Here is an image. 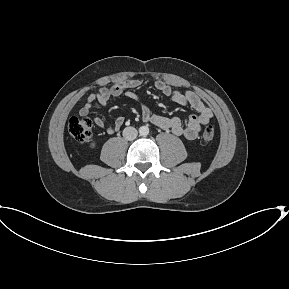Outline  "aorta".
I'll use <instances>...</instances> for the list:
<instances>
[{"label":"aorta","instance_id":"1","mask_svg":"<svg viewBox=\"0 0 289 289\" xmlns=\"http://www.w3.org/2000/svg\"><path fill=\"white\" fill-rule=\"evenodd\" d=\"M139 134L141 136H147L149 134V128L147 126H141L139 128Z\"/></svg>","mask_w":289,"mask_h":289}]
</instances>
